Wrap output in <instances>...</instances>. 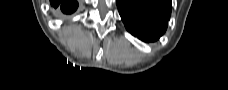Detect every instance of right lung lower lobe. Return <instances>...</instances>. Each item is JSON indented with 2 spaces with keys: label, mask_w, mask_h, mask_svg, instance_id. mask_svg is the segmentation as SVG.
<instances>
[{
  "label": "right lung lower lobe",
  "mask_w": 228,
  "mask_h": 90,
  "mask_svg": "<svg viewBox=\"0 0 228 90\" xmlns=\"http://www.w3.org/2000/svg\"><path fill=\"white\" fill-rule=\"evenodd\" d=\"M51 4L55 7V8H61V10L64 13H72L74 10H76L78 3L74 0H51Z\"/></svg>",
  "instance_id": "1"
}]
</instances>
